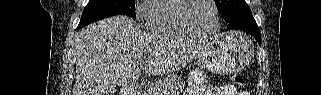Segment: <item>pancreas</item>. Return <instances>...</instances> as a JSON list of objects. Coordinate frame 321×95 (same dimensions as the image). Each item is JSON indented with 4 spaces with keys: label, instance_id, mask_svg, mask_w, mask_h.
<instances>
[{
    "label": "pancreas",
    "instance_id": "1",
    "mask_svg": "<svg viewBox=\"0 0 321 95\" xmlns=\"http://www.w3.org/2000/svg\"><path fill=\"white\" fill-rule=\"evenodd\" d=\"M185 86L182 78L176 74H170L163 80L149 84L147 86V95H174L180 92Z\"/></svg>",
    "mask_w": 321,
    "mask_h": 95
}]
</instances>
